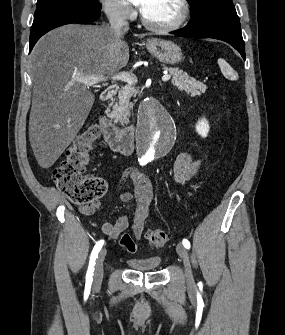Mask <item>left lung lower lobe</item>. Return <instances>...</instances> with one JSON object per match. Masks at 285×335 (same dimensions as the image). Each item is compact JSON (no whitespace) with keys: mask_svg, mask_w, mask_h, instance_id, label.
I'll return each instance as SVG.
<instances>
[{"mask_svg":"<svg viewBox=\"0 0 285 335\" xmlns=\"http://www.w3.org/2000/svg\"><path fill=\"white\" fill-rule=\"evenodd\" d=\"M176 36L186 38H213L231 44L245 60L244 41L240 21L234 5H209L192 15L183 30Z\"/></svg>","mask_w":285,"mask_h":335,"instance_id":"left-lung-lower-lobe-1","label":"left lung lower lobe"}]
</instances>
